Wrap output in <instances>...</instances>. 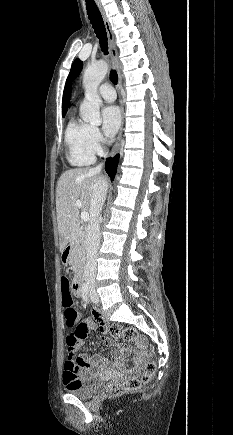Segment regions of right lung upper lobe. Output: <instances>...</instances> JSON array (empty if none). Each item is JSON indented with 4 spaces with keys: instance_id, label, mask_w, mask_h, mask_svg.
I'll return each instance as SVG.
<instances>
[{
    "instance_id": "1",
    "label": "right lung upper lobe",
    "mask_w": 233,
    "mask_h": 435,
    "mask_svg": "<svg viewBox=\"0 0 233 435\" xmlns=\"http://www.w3.org/2000/svg\"><path fill=\"white\" fill-rule=\"evenodd\" d=\"M71 96V86L69 82V77L67 78L64 93H63V103H62V114H66L67 107L69 106V99Z\"/></svg>"
}]
</instances>
